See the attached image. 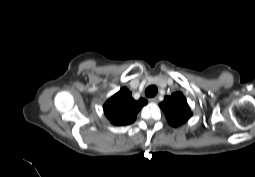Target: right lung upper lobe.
I'll return each instance as SVG.
<instances>
[{
    "instance_id": "cb5924a9",
    "label": "right lung upper lobe",
    "mask_w": 255,
    "mask_h": 177,
    "mask_svg": "<svg viewBox=\"0 0 255 177\" xmlns=\"http://www.w3.org/2000/svg\"><path fill=\"white\" fill-rule=\"evenodd\" d=\"M147 104L143 98L134 100L131 92L123 87L104 104V113L114 125L122 126L133 123L140 109Z\"/></svg>"
}]
</instances>
